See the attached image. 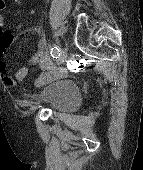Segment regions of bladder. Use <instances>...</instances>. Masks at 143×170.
I'll return each instance as SVG.
<instances>
[{"label":"bladder","mask_w":143,"mask_h":170,"mask_svg":"<svg viewBox=\"0 0 143 170\" xmlns=\"http://www.w3.org/2000/svg\"><path fill=\"white\" fill-rule=\"evenodd\" d=\"M81 92L71 79L59 78L29 91L27 101L36 107L71 113L81 104Z\"/></svg>","instance_id":"bladder-1"}]
</instances>
